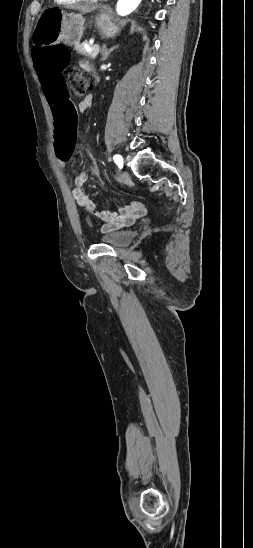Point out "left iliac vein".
I'll list each match as a JSON object with an SVG mask.
<instances>
[{"label":"left iliac vein","instance_id":"left-iliac-vein-1","mask_svg":"<svg viewBox=\"0 0 253 548\" xmlns=\"http://www.w3.org/2000/svg\"><path fill=\"white\" fill-rule=\"evenodd\" d=\"M129 179V174L127 172L120 173V180L126 182Z\"/></svg>","mask_w":253,"mask_h":548}]
</instances>
